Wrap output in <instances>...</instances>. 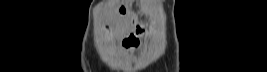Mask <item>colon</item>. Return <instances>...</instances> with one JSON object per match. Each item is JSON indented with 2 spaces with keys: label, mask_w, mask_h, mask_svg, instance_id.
<instances>
[{
  "label": "colon",
  "mask_w": 267,
  "mask_h": 72,
  "mask_svg": "<svg viewBox=\"0 0 267 72\" xmlns=\"http://www.w3.org/2000/svg\"><path fill=\"white\" fill-rule=\"evenodd\" d=\"M140 32H141V30H140ZM136 42H137V40H136L135 38H130V39H128V41H127V46L135 45Z\"/></svg>",
  "instance_id": "1"
}]
</instances>
